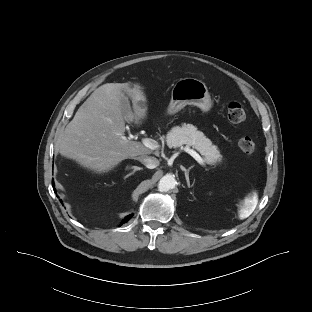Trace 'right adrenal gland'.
I'll use <instances>...</instances> for the list:
<instances>
[{"label":"right adrenal gland","instance_id":"1","mask_svg":"<svg viewBox=\"0 0 312 312\" xmlns=\"http://www.w3.org/2000/svg\"><path fill=\"white\" fill-rule=\"evenodd\" d=\"M129 168H131L132 171H131L129 174H127V175L124 177V179L128 178L129 176H131L132 174H134L136 171L142 170V169H143L142 167H138V166H131V167H127L126 169H129Z\"/></svg>","mask_w":312,"mask_h":312}]
</instances>
